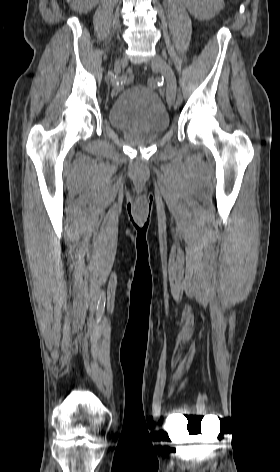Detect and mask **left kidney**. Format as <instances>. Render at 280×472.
Wrapping results in <instances>:
<instances>
[{"mask_svg":"<svg viewBox=\"0 0 280 472\" xmlns=\"http://www.w3.org/2000/svg\"><path fill=\"white\" fill-rule=\"evenodd\" d=\"M189 13L199 20L213 18L223 7V0H183Z\"/></svg>","mask_w":280,"mask_h":472,"instance_id":"1","label":"left kidney"}]
</instances>
